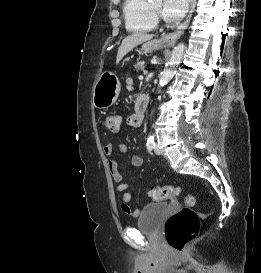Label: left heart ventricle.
<instances>
[{
  "mask_svg": "<svg viewBox=\"0 0 261 273\" xmlns=\"http://www.w3.org/2000/svg\"><path fill=\"white\" fill-rule=\"evenodd\" d=\"M151 4L159 10L162 8V0H153Z\"/></svg>",
  "mask_w": 261,
  "mask_h": 273,
  "instance_id": "left-heart-ventricle-1",
  "label": "left heart ventricle"
}]
</instances>
